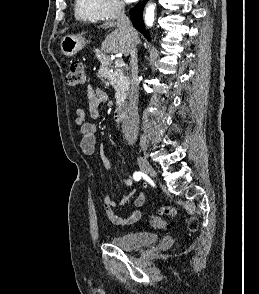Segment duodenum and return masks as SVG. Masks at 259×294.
<instances>
[{"mask_svg": "<svg viewBox=\"0 0 259 294\" xmlns=\"http://www.w3.org/2000/svg\"><path fill=\"white\" fill-rule=\"evenodd\" d=\"M115 118L119 121H124L129 127L133 128L134 122L131 120L128 110L125 106L120 105L115 111Z\"/></svg>", "mask_w": 259, "mask_h": 294, "instance_id": "obj_1", "label": "duodenum"}]
</instances>
